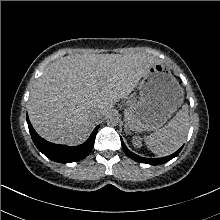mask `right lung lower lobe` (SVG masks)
<instances>
[{
    "label": "right lung lower lobe",
    "instance_id": "obj_1",
    "mask_svg": "<svg viewBox=\"0 0 220 220\" xmlns=\"http://www.w3.org/2000/svg\"><path fill=\"white\" fill-rule=\"evenodd\" d=\"M26 120L32 140L39 151L47 156L49 159L59 163L76 162L85 158L91 152L94 146L96 133L99 128V126H97L90 135L89 139L83 144L75 147H70L65 145L53 144L44 140L33 129L28 119V115L26 116Z\"/></svg>",
    "mask_w": 220,
    "mask_h": 220
}]
</instances>
